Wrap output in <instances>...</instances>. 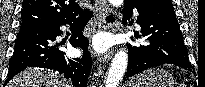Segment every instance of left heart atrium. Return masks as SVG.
Masks as SVG:
<instances>
[{
    "label": "left heart atrium",
    "mask_w": 205,
    "mask_h": 87,
    "mask_svg": "<svg viewBox=\"0 0 205 87\" xmlns=\"http://www.w3.org/2000/svg\"><path fill=\"white\" fill-rule=\"evenodd\" d=\"M104 46V43L101 40L97 41V48H102Z\"/></svg>",
    "instance_id": "39dd6f15"
}]
</instances>
